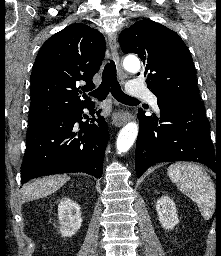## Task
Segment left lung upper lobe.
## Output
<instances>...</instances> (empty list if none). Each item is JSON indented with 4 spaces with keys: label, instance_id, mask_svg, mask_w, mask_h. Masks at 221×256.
Returning <instances> with one entry per match:
<instances>
[{
    "label": "left lung upper lobe",
    "instance_id": "left-lung-upper-lobe-1",
    "mask_svg": "<svg viewBox=\"0 0 221 256\" xmlns=\"http://www.w3.org/2000/svg\"><path fill=\"white\" fill-rule=\"evenodd\" d=\"M119 43L125 54L136 53L142 59V74L157 102L202 104L193 60L177 33L159 23L141 20L121 32Z\"/></svg>",
    "mask_w": 221,
    "mask_h": 256
}]
</instances>
